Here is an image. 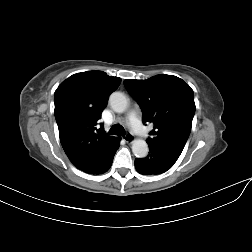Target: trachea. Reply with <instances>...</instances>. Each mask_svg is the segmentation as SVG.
Returning <instances> with one entry per match:
<instances>
[{
    "label": "trachea",
    "mask_w": 252,
    "mask_h": 252,
    "mask_svg": "<svg viewBox=\"0 0 252 252\" xmlns=\"http://www.w3.org/2000/svg\"><path fill=\"white\" fill-rule=\"evenodd\" d=\"M109 135H118V136H124L125 130L121 125H113L111 129L109 130Z\"/></svg>",
    "instance_id": "trachea-1"
}]
</instances>
